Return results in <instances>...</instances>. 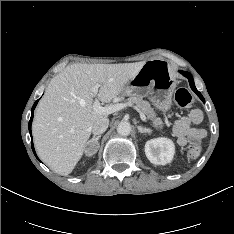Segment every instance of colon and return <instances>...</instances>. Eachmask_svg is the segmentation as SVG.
<instances>
[{"label": "colon", "mask_w": 234, "mask_h": 234, "mask_svg": "<svg viewBox=\"0 0 234 234\" xmlns=\"http://www.w3.org/2000/svg\"><path fill=\"white\" fill-rule=\"evenodd\" d=\"M175 102L181 108H188L193 103V96L186 88H179L175 93ZM202 148L199 144H194L189 147L188 156L197 158L201 154Z\"/></svg>", "instance_id": "5ec220e1"}]
</instances>
